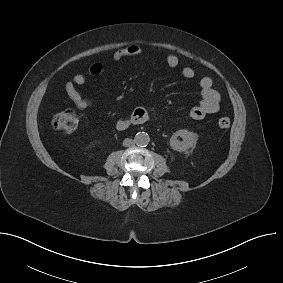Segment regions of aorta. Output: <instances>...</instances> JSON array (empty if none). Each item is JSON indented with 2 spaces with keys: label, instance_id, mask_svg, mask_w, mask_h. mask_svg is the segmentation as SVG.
<instances>
[{
  "label": "aorta",
  "instance_id": "obj_1",
  "mask_svg": "<svg viewBox=\"0 0 283 283\" xmlns=\"http://www.w3.org/2000/svg\"><path fill=\"white\" fill-rule=\"evenodd\" d=\"M149 136L145 132H138L135 135L134 141L138 146H146L149 143Z\"/></svg>",
  "mask_w": 283,
  "mask_h": 283
}]
</instances>
